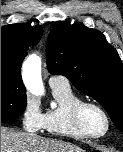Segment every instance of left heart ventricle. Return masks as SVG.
Instances as JSON below:
<instances>
[{
    "instance_id": "left-heart-ventricle-1",
    "label": "left heart ventricle",
    "mask_w": 123,
    "mask_h": 152,
    "mask_svg": "<svg viewBox=\"0 0 123 152\" xmlns=\"http://www.w3.org/2000/svg\"><path fill=\"white\" fill-rule=\"evenodd\" d=\"M82 122L85 128L93 133L100 134L106 128L104 116L95 108L87 107L82 115Z\"/></svg>"
}]
</instances>
